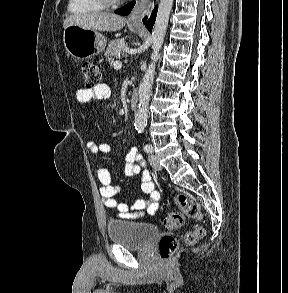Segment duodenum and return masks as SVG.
Here are the masks:
<instances>
[{
	"label": "duodenum",
	"instance_id": "duodenum-1",
	"mask_svg": "<svg viewBox=\"0 0 288 293\" xmlns=\"http://www.w3.org/2000/svg\"><path fill=\"white\" fill-rule=\"evenodd\" d=\"M139 102V92L134 90L130 97V106L132 109H136Z\"/></svg>",
	"mask_w": 288,
	"mask_h": 293
}]
</instances>
